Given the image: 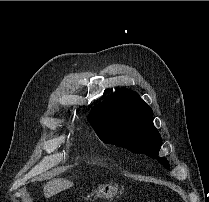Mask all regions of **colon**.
Listing matches in <instances>:
<instances>
[{"mask_svg": "<svg viewBox=\"0 0 209 202\" xmlns=\"http://www.w3.org/2000/svg\"><path fill=\"white\" fill-rule=\"evenodd\" d=\"M147 202H155V201H147Z\"/></svg>", "mask_w": 209, "mask_h": 202, "instance_id": "colon-1", "label": "colon"}]
</instances>
